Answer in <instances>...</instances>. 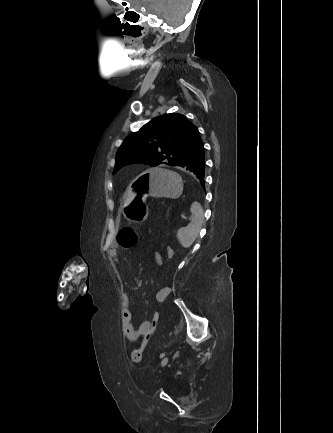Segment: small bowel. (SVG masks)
<instances>
[{
	"instance_id": "c3829d8e",
	"label": "small bowel",
	"mask_w": 333,
	"mask_h": 433,
	"mask_svg": "<svg viewBox=\"0 0 333 433\" xmlns=\"http://www.w3.org/2000/svg\"><path fill=\"white\" fill-rule=\"evenodd\" d=\"M109 258L115 263L119 264V255L118 251L115 245L111 246L109 249ZM153 259L154 262L159 267H163V260L161 256L157 253H153ZM170 294V288L169 287H162L158 290L156 293V301L158 303L164 302L167 297ZM130 304L131 299L130 296L127 293H123L121 295V324H122V330L125 339L128 342L134 343L136 342L140 337H144L145 335L152 333L153 330H150V324L149 321L142 322L139 326L135 327L132 324V313L130 310Z\"/></svg>"
}]
</instances>
